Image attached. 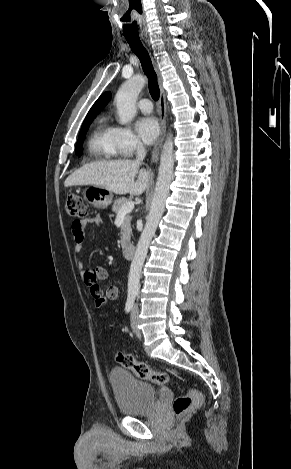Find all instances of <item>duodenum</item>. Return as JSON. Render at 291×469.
I'll list each match as a JSON object with an SVG mask.
<instances>
[{"label": "duodenum", "instance_id": "1", "mask_svg": "<svg viewBox=\"0 0 291 469\" xmlns=\"http://www.w3.org/2000/svg\"><path fill=\"white\" fill-rule=\"evenodd\" d=\"M123 254L127 259L133 258L135 254V246L132 244H126L123 248Z\"/></svg>", "mask_w": 291, "mask_h": 469}]
</instances>
